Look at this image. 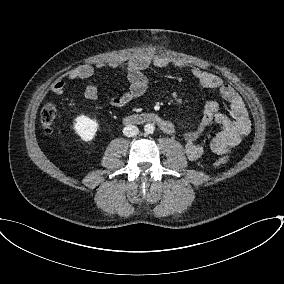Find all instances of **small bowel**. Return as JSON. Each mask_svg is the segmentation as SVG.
Returning <instances> with one entry per match:
<instances>
[{
    "instance_id": "1",
    "label": "small bowel",
    "mask_w": 284,
    "mask_h": 284,
    "mask_svg": "<svg viewBox=\"0 0 284 284\" xmlns=\"http://www.w3.org/2000/svg\"><path fill=\"white\" fill-rule=\"evenodd\" d=\"M109 65L118 69L129 83L123 94L107 98L109 105L122 107L146 92L148 79L144 74L145 70L152 66L168 68L175 63L168 57L141 54L127 60L111 62ZM94 71L92 65H79L67 74V80L89 78ZM191 72L203 87L219 92L228 103L229 112L223 113L220 105L215 101L206 103L198 127L183 134L185 154L190 160H197L203 156L204 147L198 140L212 125L218 126L220 130L210 143L211 150L218 155L228 154L250 133L251 122L246 105L237 91L217 74L199 68H193ZM65 85L63 79H58L51 86V91L61 95ZM84 97L88 101H95L98 98V87L89 84L85 88Z\"/></svg>"
}]
</instances>
